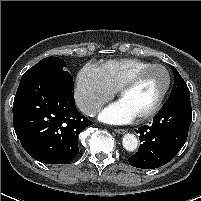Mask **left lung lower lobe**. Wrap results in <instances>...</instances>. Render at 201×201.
<instances>
[{
	"label": "left lung lower lobe",
	"mask_w": 201,
	"mask_h": 201,
	"mask_svg": "<svg viewBox=\"0 0 201 201\" xmlns=\"http://www.w3.org/2000/svg\"><path fill=\"white\" fill-rule=\"evenodd\" d=\"M191 121L190 94L168 98L151 125L135 130L142 144L138 152L128 158L130 165L153 169L167 164L185 144Z\"/></svg>",
	"instance_id": "obj_1"
}]
</instances>
